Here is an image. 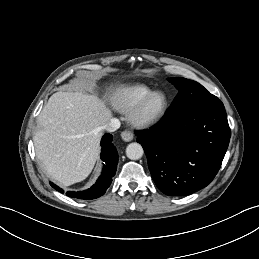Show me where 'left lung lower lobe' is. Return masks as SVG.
<instances>
[{
    "instance_id": "1",
    "label": "left lung lower lobe",
    "mask_w": 259,
    "mask_h": 259,
    "mask_svg": "<svg viewBox=\"0 0 259 259\" xmlns=\"http://www.w3.org/2000/svg\"><path fill=\"white\" fill-rule=\"evenodd\" d=\"M135 134L154 182L169 196L189 195L211 183L230 140L220 100L167 114L155 127Z\"/></svg>"
}]
</instances>
